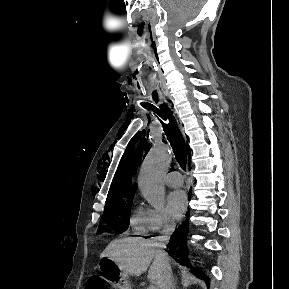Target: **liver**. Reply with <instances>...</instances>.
Here are the masks:
<instances>
[{"label": "liver", "mask_w": 289, "mask_h": 289, "mask_svg": "<svg viewBox=\"0 0 289 289\" xmlns=\"http://www.w3.org/2000/svg\"><path fill=\"white\" fill-rule=\"evenodd\" d=\"M160 252V249L147 240L128 237L112 241L100 257L112 259L127 275L140 276L149 268L148 279L155 283L158 289L163 270ZM165 254L169 261L167 253Z\"/></svg>", "instance_id": "liver-1"}]
</instances>
